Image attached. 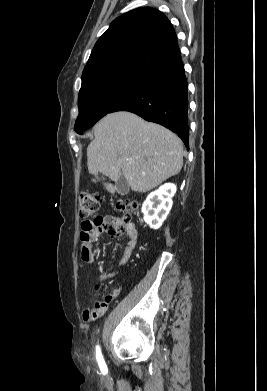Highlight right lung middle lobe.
Segmentation results:
<instances>
[{
    "instance_id": "right-lung-middle-lobe-1",
    "label": "right lung middle lobe",
    "mask_w": 267,
    "mask_h": 391,
    "mask_svg": "<svg viewBox=\"0 0 267 391\" xmlns=\"http://www.w3.org/2000/svg\"><path fill=\"white\" fill-rule=\"evenodd\" d=\"M149 74L118 71L96 76L82 84L75 131L82 134L138 89Z\"/></svg>"
}]
</instances>
